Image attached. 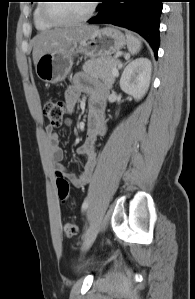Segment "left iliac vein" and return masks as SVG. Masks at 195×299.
<instances>
[{
    "label": "left iliac vein",
    "mask_w": 195,
    "mask_h": 299,
    "mask_svg": "<svg viewBox=\"0 0 195 299\" xmlns=\"http://www.w3.org/2000/svg\"><path fill=\"white\" fill-rule=\"evenodd\" d=\"M98 233V225L97 223H93L87 232L84 234V240H83V246H82V251L85 252L87 251L92 243L94 242L96 236Z\"/></svg>",
    "instance_id": "obj_1"
}]
</instances>
